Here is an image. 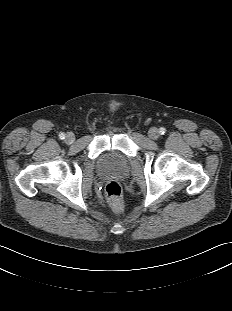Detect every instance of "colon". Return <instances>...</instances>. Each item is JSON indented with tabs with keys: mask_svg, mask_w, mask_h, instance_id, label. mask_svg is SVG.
I'll return each mask as SVG.
<instances>
[{
	"mask_svg": "<svg viewBox=\"0 0 232 311\" xmlns=\"http://www.w3.org/2000/svg\"><path fill=\"white\" fill-rule=\"evenodd\" d=\"M105 192L111 208L115 211H120L123 208V193L120 184L116 181L109 182Z\"/></svg>",
	"mask_w": 232,
	"mask_h": 311,
	"instance_id": "5ec220e1",
	"label": "colon"
}]
</instances>
